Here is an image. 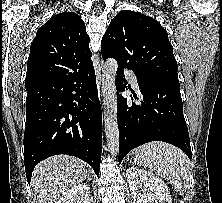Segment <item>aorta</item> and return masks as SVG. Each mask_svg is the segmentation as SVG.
I'll use <instances>...</instances> for the list:
<instances>
[{
    "instance_id": "762f6f07",
    "label": "aorta",
    "mask_w": 222,
    "mask_h": 203,
    "mask_svg": "<svg viewBox=\"0 0 222 203\" xmlns=\"http://www.w3.org/2000/svg\"><path fill=\"white\" fill-rule=\"evenodd\" d=\"M118 64L114 58L106 60L102 70V93L104 98V122L108 149L112 155L119 150L117 121V98L115 78Z\"/></svg>"
}]
</instances>
